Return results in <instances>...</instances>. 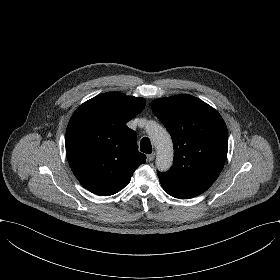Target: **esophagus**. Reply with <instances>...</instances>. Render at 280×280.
Returning a JSON list of instances; mask_svg holds the SVG:
<instances>
[{
  "label": "esophagus",
  "instance_id": "1",
  "mask_svg": "<svg viewBox=\"0 0 280 280\" xmlns=\"http://www.w3.org/2000/svg\"><path fill=\"white\" fill-rule=\"evenodd\" d=\"M155 155L156 153L155 152H152L151 154H148L147 155V160L150 162V161H153L154 158H155Z\"/></svg>",
  "mask_w": 280,
  "mask_h": 280
}]
</instances>
